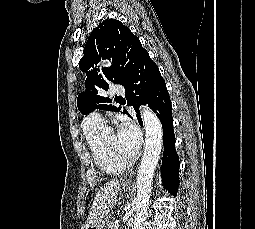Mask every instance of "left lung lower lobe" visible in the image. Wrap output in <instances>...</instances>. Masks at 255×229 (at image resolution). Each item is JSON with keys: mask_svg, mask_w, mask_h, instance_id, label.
Segmentation results:
<instances>
[{"mask_svg": "<svg viewBox=\"0 0 255 229\" xmlns=\"http://www.w3.org/2000/svg\"><path fill=\"white\" fill-rule=\"evenodd\" d=\"M124 88L128 105L135 108L141 126L140 105L148 104L161 121L164 141L161 176L164 186L176 196L179 186V157L175 150L172 106L165 81L147 51L141 56ZM123 112L128 114L125 110Z\"/></svg>", "mask_w": 255, "mask_h": 229, "instance_id": "0a47b994", "label": "left lung lower lobe"}]
</instances>
